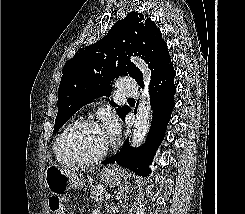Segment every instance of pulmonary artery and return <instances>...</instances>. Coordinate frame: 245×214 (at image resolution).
I'll return each mask as SVG.
<instances>
[{
    "mask_svg": "<svg viewBox=\"0 0 245 214\" xmlns=\"http://www.w3.org/2000/svg\"><path fill=\"white\" fill-rule=\"evenodd\" d=\"M116 87L123 95L132 97L138 95L139 86L133 79H119L116 82Z\"/></svg>",
    "mask_w": 245,
    "mask_h": 214,
    "instance_id": "pulmonary-artery-1",
    "label": "pulmonary artery"
}]
</instances>
